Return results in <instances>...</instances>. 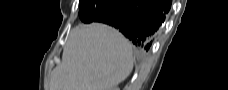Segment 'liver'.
<instances>
[{
	"label": "liver",
	"instance_id": "obj_1",
	"mask_svg": "<svg viewBox=\"0 0 228 90\" xmlns=\"http://www.w3.org/2000/svg\"><path fill=\"white\" fill-rule=\"evenodd\" d=\"M133 69L132 45L117 30L98 23L73 28L50 90H111Z\"/></svg>",
	"mask_w": 228,
	"mask_h": 90
}]
</instances>
